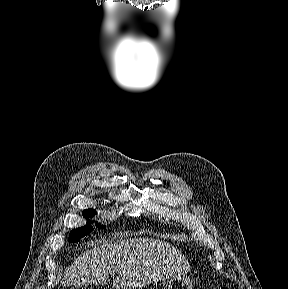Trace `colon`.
Masks as SVG:
<instances>
[{
  "label": "colon",
  "instance_id": "obj_1",
  "mask_svg": "<svg viewBox=\"0 0 288 289\" xmlns=\"http://www.w3.org/2000/svg\"><path fill=\"white\" fill-rule=\"evenodd\" d=\"M75 289H82V288H75ZM219 289H230V288H228V287H221V288H219Z\"/></svg>",
  "mask_w": 288,
  "mask_h": 289
}]
</instances>
